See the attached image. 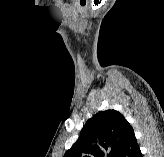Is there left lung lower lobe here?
Masks as SVG:
<instances>
[{
    "mask_svg": "<svg viewBox=\"0 0 164 157\" xmlns=\"http://www.w3.org/2000/svg\"><path fill=\"white\" fill-rule=\"evenodd\" d=\"M117 157H142L135 135L128 140Z\"/></svg>",
    "mask_w": 164,
    "mask_h": 157,
    "instance_id": "0a47b994",
    "label": "left lung lower lobe"
}]
</instances>
